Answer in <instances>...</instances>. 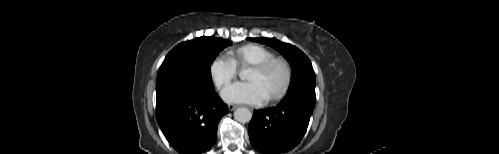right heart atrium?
Listing matches in <instances>:
<instances>
[{
    "label": "right heart atrium",
    "instance_id": "d8ad5b80",
    "mask_svg": "<svg viewBox=\"0 0 499 154\" xmlns=\"http://www.w3.org/2000/svg\"><path fill=\"white\" fill-rule=\"evenodd\" d=\"M238 73L237 66L227 56L215 57L209 65V75L218 89L229 84Z\"/></svg>",
    "mask_w": 499,
    "mask_h": 154
}]
</instances>
